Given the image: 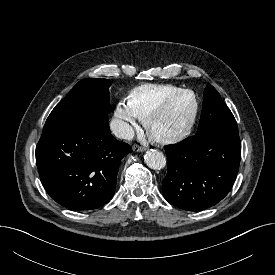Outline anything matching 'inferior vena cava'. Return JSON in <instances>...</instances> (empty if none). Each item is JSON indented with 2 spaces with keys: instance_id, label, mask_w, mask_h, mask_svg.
I'll return each mask as SVG.
<instances>
[{
  "instance_id": "inferior-vena-cava-1",
  "label": "inferior vena cava",
  "mask_w": 275,
  "mask_h": 275,
  "mask_svg": "<svg viewBox=\"0 0 275 275\" xmlns=\"http://www.w3.org/2000/svg\"><path fill=\"white\" fill-rule=\"evenodd\" d=\"M110 127L117 138L131 140L134 137L133 128L128 123L120 119H113Z\"/></svg>"
}]
</instances>
